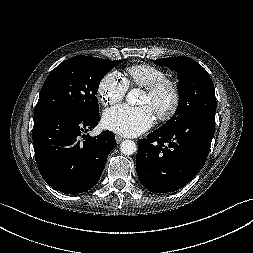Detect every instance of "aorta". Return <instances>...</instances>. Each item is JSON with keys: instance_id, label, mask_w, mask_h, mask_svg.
I'll return each instance as SVG.
<instances>
[{"instance_id": "1", "label": "aorta", "mask_w": 253, "mask_h": 253, "mask_svg": "<svg viewBox=\"0 0 253 253\" xmlns=\"http://www.w3.org/2000/svg\"><path fill=\"white\" fill-rule=\"evenodd\" d=\"M142 95V91L140 89H132L126 95V101L130 105H136L139 102V98ZM120 150L124 155H132L137 151V145L132 140H124L120 145Z\"/></svg>"}]
</instances>
